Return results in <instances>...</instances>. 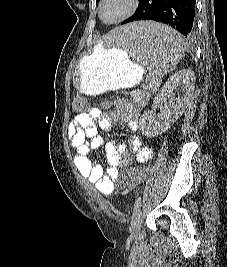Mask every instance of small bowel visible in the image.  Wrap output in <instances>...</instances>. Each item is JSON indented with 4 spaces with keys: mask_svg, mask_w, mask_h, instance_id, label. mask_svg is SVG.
Returning <instances> with one entry per match:
<instances>
[{
    "mask_svg": "<svg viewBox=\"0 0 227 267\" xmlns=\"http://www.w3.org/2000/svg\"><path fill=\"white\" fill-rule=\"evenodd\" d=\"M114 123L126 124L133 130L139 128L138 110L134 104L121 101L117 109L103 111L90 108L87 112L75 115L68 126L70 144L76 149L73 161L81 176L94 184L104 194L113 192L122 166H127L132 157L139 163H147L152 158V150L135 135L128 138L129 144L115 142L105 144L107 165L104 169L88 157L91 150L100 148L103 140L98 130L107 131Z\"/></svg>",
    "mask_w": 227,
    "mask_h": 267,
    "instance_id": "small-bowel-1",
    "label": "small bowel"
}]
</instances>
